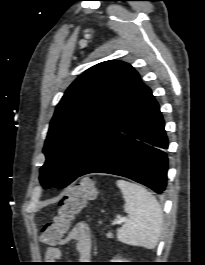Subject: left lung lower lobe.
Wrapping results in <instances>:
<instances>
[{
    "mask_svg": "<svg viewBox=\"0 0 205 265\" xmlns=\"http://www.w3.org/2000/svg\"><path fill=\"white\" fill-rule=\"evenodd\" d=\"M167 148L164 120L158 103L147 88L134 110L77 177L96 172L109 173L127 177L162 193L167 185Z\"/></svg>",
    "mask_w": 205,
    "mask_h": 265,
    "instance_id": "1",
    "label": "left lung lower lobe"
}]
</instances>
